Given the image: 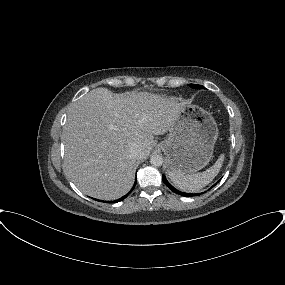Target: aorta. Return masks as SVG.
<instances>
[{
	"instance_id": "aorta-1",
	"label": "aorta",
	"mask_w": 285,
	"mask_h": 285,
	"mask_svg": "<svg viewBox=\"0 0 285 285\" xmlns=\"http://www.w3.org/2000/svg\"><path fill=\"white\" fill-rule=\"evenodd\" d=\"M150 163L154 167H159L163 164V158L158 154H154L150 158Z\"/></svg>"
}]
</instances>
